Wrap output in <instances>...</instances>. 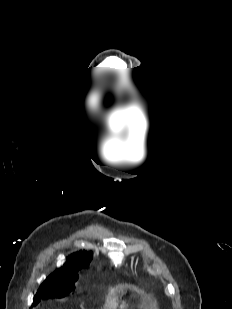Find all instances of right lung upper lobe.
Returning <instances> with one entry per match:
<instances>
[{
    "instance_id": "right-lung-upper-lobe-1",
    "label": "right lung upper lobe",
    "mask_w": 232,
    "mask_h": 309,
    "mask_svg": "<svg viewBox=\"0 0 232 309\" xmlns=\"http://www.w3.org/2000/svg\"><path fill=\"white\" fill-rule=\"evenodd\" d=\"M92 260V253L86 251L76 252L69 257L63 267L49 275L43 283L75 282L78 279L77 271L88 267ZM66 296V295H64ZM62 296V297H64ZM61 298V297H58Z\"/></svg>"
}]
</instances>
